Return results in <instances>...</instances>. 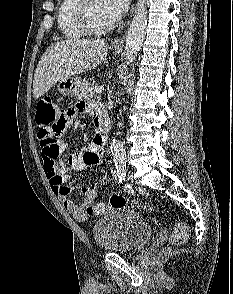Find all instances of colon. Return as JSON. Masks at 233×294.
I'll list each match as a JSON object with an SVG mask.
<instances>
[{"instance_id": "obj_1", "label": "colon", "mask_w": 233, "mask_h": 294, "mask_svg": "<svg viewBox=\"0 0 233 294\" xmlns=\"http://www.w3.org/2000/svg\"><path fill=\"white\" fill-rule=\"evenodd\" d=\"M58 108L60 107L50 97H44L39 100L35 115V121L39 128V132H51L49 131L50 123H53V120H58V114H62L58 113ZM41 138L44 139L45 143H53L55 141L54 137ZM124 207L151 209L148 205H142L135 200H129L121 195L114 194L107 203H97L91 206L88 211L94 215H101L111 209ZM187 235V226L182 222L177 223L171 233L170 241L174 245L181 244L186 240Z\"/></svg>"}]
</instances>
